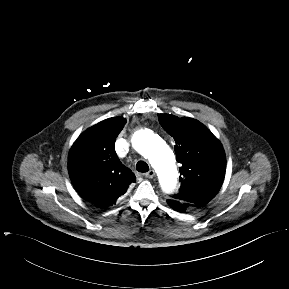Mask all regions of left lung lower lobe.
<instances>
[{
	"label": "left lung lower lobe",
	"instance_id": "0a47b994",
	"mask_svg": "<svg viewBox=\"0 0 289 289\" xmlns=\"http://www.w3.org/2000/svg\"><path fill=\"white\" fill-rule=\"evenodd\" d=\"M167 203L169 204L171 208L182 213L188 210H194V209L201 207L199 205H195V204L188 203V202H183L177 199H168Z\"/></svg>",
	"mask_w": 289,
	"mask_h": 289
}]
</instances>
